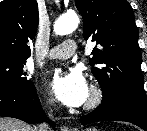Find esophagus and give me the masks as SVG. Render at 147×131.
<instances>
[{
	"instance_id": "obj_1",
	"label": "esophagus",
	"mask_w": 147,
	"mask_h": 131,
	"mask_svg": "<svg viewBox=\"0 0 147 131\" xmlns=\"http://www.w3.org/2000/svg\"><path fill=\"white\" fill-rule=\"evenodd\" d=\"M60 131H72V130H70L67 126L63 125L61 126Z\"/></svg>"
}]
</instances>
